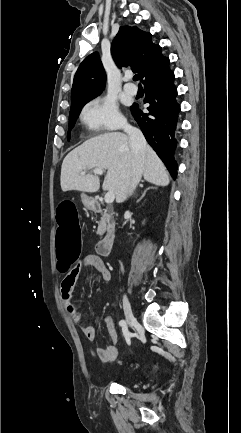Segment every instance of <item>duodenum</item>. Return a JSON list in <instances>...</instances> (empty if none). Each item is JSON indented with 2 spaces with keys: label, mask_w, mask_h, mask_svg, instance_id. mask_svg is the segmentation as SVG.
<instances>
[{
  "label": "duodenum",
  "mask_w": 241,
  "mask_h": 433,
  "mask_svg": "<svg viewBox=\"0 0 241 433\" xmlns=\"http://www.w3.org/2000/svg\"><path fill=\"white\" fill-rule=\"evenodd\" d=\"M88 204L91 210L96 212L102 211V206L98 201L90 199ZM113 245L114 235L112 233H108L97 243V251L102 256H108L112 251Z\"/></svg>",
  "instance_id": "obj_1"
}]
</instances>
